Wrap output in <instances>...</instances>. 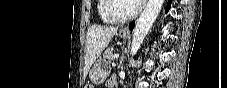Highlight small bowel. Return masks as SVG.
I'll return each instance as SVG.
<instances>
[{"label": "small bowel", "mask_w": 227, "mask_h": 88, "mask_svg": "<svg viewBox=\"0 0 227 88\" xmlns=\"http://www.w3.org/2000/svg\"><path fill=\"white\" fill-rule=\"evenodd\" d=\"M114 83H115V79L114 78H111L110 80H108L107 85L109 87H112L114 85Z\"/></svg>", "instance_id": "c3829d8e"}]
</instances>
